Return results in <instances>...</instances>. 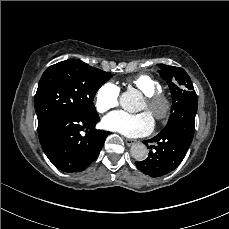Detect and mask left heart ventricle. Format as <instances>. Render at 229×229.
Returning a JSON list of instances; mask_svg holds the SVG:
<instances>
[{
	"label": "left heart ventricle",
	"mask_w": 229,
	"mask_h": 229,
	"mask_svg": "<svg viewBox=\"0 0 229 229\" xmlns=\"http://www.w3.org/2000/svg\"><path fill=\"white\" fill-rule=\"evenodd\" d=\"M144 108H146V101H145V104H144V107H143V109H144Z\"/></svg>",
	"instance_id": "obj_1"
}]
</instances>
